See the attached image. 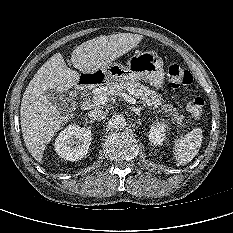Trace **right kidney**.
<instances>
[{
    "mask_svg": "<svg viewBox=\"0 0 233 233\" xmlns=\"http://www.w3.org/2000/svg\"><path fill=\"white\" fill-rule=\"evenodd\" d=\"M91 140V130L71 124L56 138L55 151L65 160L77 161L86 156Z\"/></svg>",
    "mask_w": 233,
    "mask_h": 233,
    "instance_id": "1",
    "label": "right kidney"
}]
</instances>
